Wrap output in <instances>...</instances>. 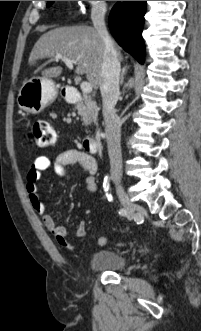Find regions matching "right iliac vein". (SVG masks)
<instances>
[{"label":"right iliac vein","instance_id":"1","mask_svg":"<svg viewBox=\"0 0 201 331\" xmlns=\"http://www.w3.org/2000/svg\"><path fill=\"white\" fill-rule=\"evenodd\" d=\"M116 190H117L118 197H119L122 205L124 206V209L127 212L126 213L127 217H128V219L131 220L134 216L136 205L130 200V198L127 195V193L125 192L124 188L118 181H116Z\"/></svg>","mask_w":201,"mask_h":331}]
</instances>
